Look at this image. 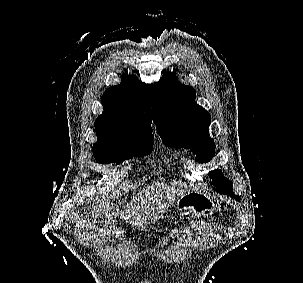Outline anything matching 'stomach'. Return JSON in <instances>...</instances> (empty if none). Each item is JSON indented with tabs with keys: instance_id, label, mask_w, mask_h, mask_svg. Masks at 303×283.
<instances>
[{
	"instance_id": "stomach-1",
	"label": "stomach",
	"mask_w": 303,
	"mask_h": 283,
	"mask_svg": "<svg viewBox=\"0 0 303 283\" xmlns=\"http://www.w3.org/2000/svg\"><path fill=\"white\" fill-rule=\"evenodd\" d=\"M214 208L213 200L199 192L183 194L177 201V210L182 215L192 214L196 217H208L213 214Z\"/></svg>"
}]
</instances>
